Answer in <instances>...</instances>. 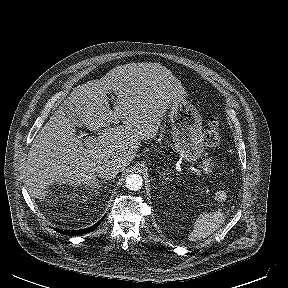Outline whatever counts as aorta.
<instances>
[{
	"instance_id": "aorta-1",
	"label": "aorta",
	"mask_w": 288,
	"mask_h": 288,
	"mask_svg": "<svg viewBox=\"0 0 288 288\" xmlns=\"http://www.w3.org/2000/svg\"><path fill=\"white\" fill-rule=\"evenodd\" d=\"M142 184H143V179L138 174H130L126 178V187L129 190L137 191V190L141 189Z\"/></svg>"
}]
</instances>
